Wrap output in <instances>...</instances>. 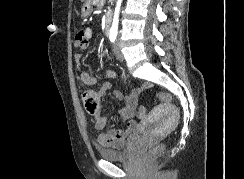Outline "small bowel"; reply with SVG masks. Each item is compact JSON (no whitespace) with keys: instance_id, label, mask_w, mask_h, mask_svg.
<instances>
[{"instance_id":"1","label":"small bowel","mask_w":244,"mask_h":179,"mask_svg":"<svg viewBox=\"0 0 244 179\" xmlns=\"http://www.w3.org/2000/svg\"><path fill=\"white\" fill-rule=\"evenodd\" d=\"M88 13V12H84ZM93 37V32L90 28H85L79 31L76 35L74 46L80 50V52L74 55V59L76 63L81 62L82 51L86 50L89 42ZM105 78L114 79L116 77V73L113 71L105 72ZM81 82L86 86H94L97 84L98 80L95 76L91 75L88 72H82L80 74ZM112 88V84L109 81L103 83L102 87L97 92L98 97L102 98L108 91ZM118 97H121V94L117 93ZM137 107V92L136 89L133 88L128 96L125 98V105L120 109L119 115L122 119L126 121V127L121 130H111L108 132H101L97 141L99 144L109 147H120L124 144L127 136L136 128L137 121L134 119L133 110H136ZM139 110H145L144 108H140ZM140 117L143 115H139ZM107 118L102 114H96L94 116V128L96 130H103L106 126Z\"/></svg>"}]
</instances>
